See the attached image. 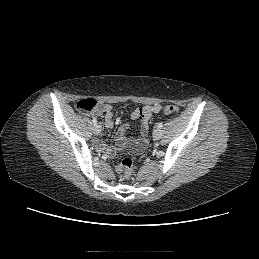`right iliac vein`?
Listing matches in <instances>:
<instances>
[{
  "mask_svg": "<svg viewBox=\"0 0 259 259\" xmlns=\"http://www.w3.org/2000/svg\"><path fill=\"white\" fill-rule=\"evenodd\" d=\"M93 132H94V134H96V135L100 134V132H101V127H100V125L95 124L94 127H93Z\"/></svg>",
  "mask_w": 259,
  "mask_h": 259,
  "instance_id": "right-iliac-vein-1",
  "label": "right iliac vein"
}]
</instances>
